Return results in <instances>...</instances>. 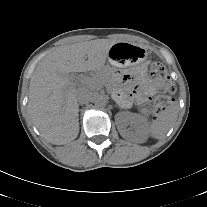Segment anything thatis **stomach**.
<instances>
[{
	"instance_id": "stomach-1",
	"label": "stomach",
	"mask_w": 207,
	"mask_h": 207,
	"mask_svg": "<svg viewBox=\"0 0 207 207\" xmlns=\"http://www.w3.org/2000/svg\"><path fill=\"white\" fill-rule=\"evenodd\" d=\"M147 56L148 53L144 48L122 42L111 47L108 60L112 66L123 68L128 65L144 64Z\"/></svg>"
}]
</instances>
